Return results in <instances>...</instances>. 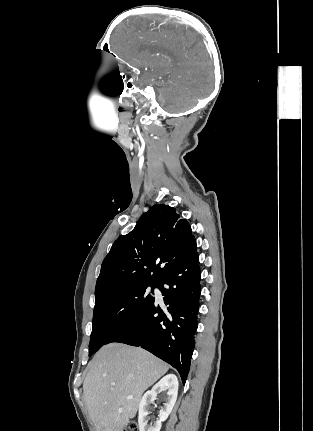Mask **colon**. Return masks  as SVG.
<instances>
[{
	"label": "colon",
	"mask_w": 313,
	"mask_h": 431,
	"mask_svg": "<svg viewBox=\"0 0 313 431\" xmlns=\"http://www.w3.org/2000/svg\"><path fill=\"white\" fill-rule=\"evenodd\" d=\"M124 431H139L136 422L130 421L124 428Z\"/></svg>",
	"instance_id": "obj_1"
}]
</instances>
